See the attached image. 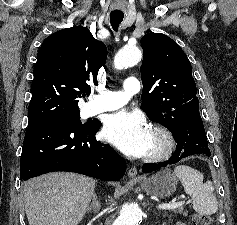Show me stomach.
<instances>
[{"instance_id":"obj_1","label":"stomach","mask_w":237,"mask_h":225,"mask_svg":"<svg viewBox=\"0 0 237 225\" xmlns=\"http://www.w3.org/2000/svg\"><path fill=\"white\" fill-rule=\"evenodd\" d=\"M140 185L150 195L167 198L176 191L178 179L169 169H164L149 178H142Z\"/></svg>"}]
</instances>
